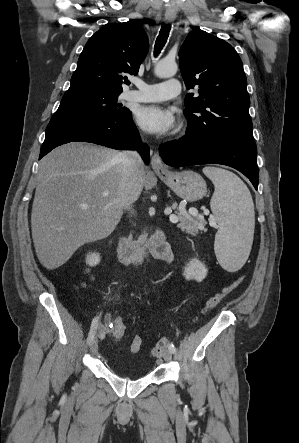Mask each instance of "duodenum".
Wrapping results in <instances>:
<instances>
[{"instance_id": "1", "label": "duodenum", "mask_w": 299, "mask_h": 443, "mask_svg": "<svg viewBox=\"0 0 299 443\" xmlns=\"http://www.w3.org/2000/svg\"><path fill=\"white\" fill-rule=\"evenodd\" d=\"M170 250L162 230L156 231L143 242L121 238L116 243V251L123 262H142L147 257L161 258Z\"/></svg>"}]
</instances>
